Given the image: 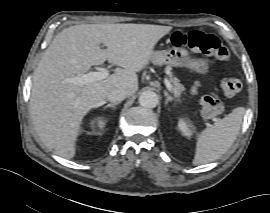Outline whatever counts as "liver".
I'll use <instances>...</instances> for the list:
<instances>
[{"label":"liver","mask_w":270,"mask_h":213,"mask_svg":"<svg viewBox=\"0 0 270 213\" xmlns=\"http://www.w3.org/2000/svg\"><path fill=\"white\" fill-rule=\"evenodd\" d=\"M170 26L149 24H81L58 33L44 52L33 76L30 114L43 143L66 159L75 156V143L84 116L121 89L138 90L137 72L144 69L157 42ZM100 43L107 48L101 49ZM106 60L120 66L103 80L83 86L67 83Z\"/></svg>","instance_id":"1"}]
</instances>
